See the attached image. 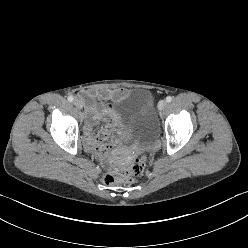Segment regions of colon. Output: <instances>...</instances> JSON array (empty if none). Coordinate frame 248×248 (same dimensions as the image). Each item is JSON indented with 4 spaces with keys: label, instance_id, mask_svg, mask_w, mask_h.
<instances>
[{
    "label": "colon",
    "instance_id": "colon-1",
    "mask_svg": "<svg viewBox=\"0 0 248 248\" xmlns=\"http://www.w3.org/2000/svg\"><path fill=\"white\" fill-rule=\"evenodd\" d=\"M146 167V156L136 159L129 168L121 170H110L103 174L105 184H113L118 181L132 182L143 175Z\"/></svg>",
    "mask_w": 248,
    "mask_h": 248
}]
</instances>
